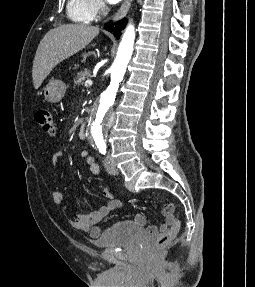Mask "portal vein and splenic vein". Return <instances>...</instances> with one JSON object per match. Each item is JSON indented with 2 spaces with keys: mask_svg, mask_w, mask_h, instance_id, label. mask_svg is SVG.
I'll return each instance as SVG.
<instances>
[{
  "mask_svg": "<svg viewBox=\"0 0 255 287\" xmlns=\"http://www.w3.org/2000/svg\"><path fill=\"white\" fill-rule=\"evenodd\" d=\"M93 82L92 80H86L84 86H86V88H89V86H92Z\"/></svg>",
  "mask_w": 255,
  "mask_h": 287,
  "instance_id": "1",
  "label": "portal vein and splenic vein"
}]
</instances>
